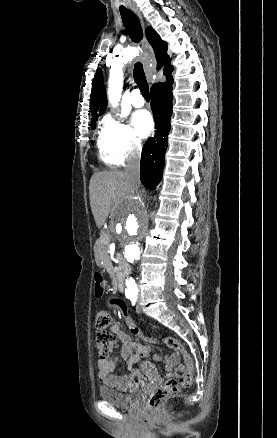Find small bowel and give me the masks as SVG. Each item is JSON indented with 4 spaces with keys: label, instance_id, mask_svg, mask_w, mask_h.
I'll return each instance as SVG.
<instances>
[{
    "label": "small bowel",
    "instance_id": "small-bowel-1",
    "mask_svg": "<svg viewBox=\"0 0 277 438\" xmlns=\"http://www.w3.org/2000/svg\"><path fill=\"white\" fill-rule=\"evenodd\" d=\"M129 326H127L126 331L129 334H137V338L140 341L146 339V334L140 332V328L137 325L131 323L129 317L123 312ZM110 332L115 334L117 338L122 343V358L126 361V366L129 373L122 376H114L111 373L116 369L118 360H100L97 364V377L101 383L104 385L116 388L120 391H128L134 388L136 378L138 376L135 366L137 362L150 355V348L146 345H141L134 342L124 331L120 329L117 323H114L109 328ZM141 370L145 374H149L152 371V363L146 360L141 365ZM185 370L184 365L180 362L179 355L176 353L170 354L165 357L164 360V371L167 378L179 375Z\"/></svg>",
    "mask_w": 277,
    "mask_h": 438
}]
</instances>
